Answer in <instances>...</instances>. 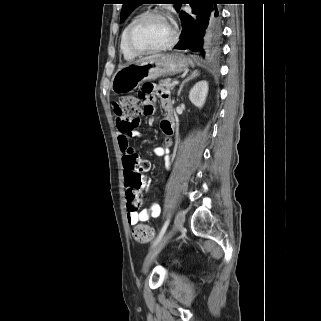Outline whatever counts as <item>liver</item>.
<instances>
[{"instance_id": "6515ba94", "label": "liver", "mask_w": 321, "mask_h": 321, "mask_svg": "<svg viewBox=\"0 0 321 321\" xmlns=\"http://www.w3.org/2000/svg\"><path fill=\"white\" fill-rule=\"evenodd\" d=\"M161 55H152V56H149V57H145L141 60H139L138 62H141V61H144V60H149V59H153V58H157V57H160Z\"/></svg>"}]
</instances>
